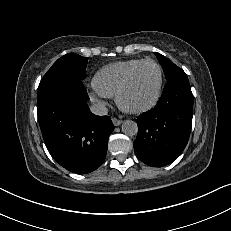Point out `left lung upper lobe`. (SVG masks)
Listing matches in <instances>:
<instances>
[{"instance_id":"1","label":"left lung upper lobe","mask_w":231,"mask_h":231,"mask_svg":"<svg viewBox=\"0 0 231 231\" xmlns=\"http://www.w3.org/2000/svg\"><path fill=\"white\" fill-rule=\"evenodd\" d=\"M155 55L157 56L161 66L164 70L166 79H168L173 74H176V73L182 71V69H180L171 60H169L165 56L161 55L160 53L155 52Z\"/></svg>"}]
</instances>
